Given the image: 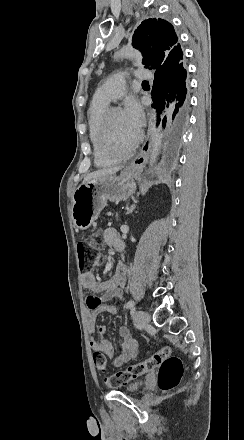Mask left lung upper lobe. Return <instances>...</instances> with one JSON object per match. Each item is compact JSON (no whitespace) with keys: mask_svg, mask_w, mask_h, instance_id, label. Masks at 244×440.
Listing matches in <instances>:
<instances>
[{"mask_svg":"<svg viewBox=\"0 0 244 440\" xmlns=\"http://www.w3.org/2000/svg\"><path fill=\"white\" fill-rule=\"evenodd\" d=\"M171 23L161 18L144 20L135 30L134 48L143 54V64L149 69L167 66L182 58V49Z\"/></svg>","mask_w":244,"mask_h":440,"instance_id":"left-lung-upper-lobe-1","label":"left lung upper lobe"}]
</instances>
